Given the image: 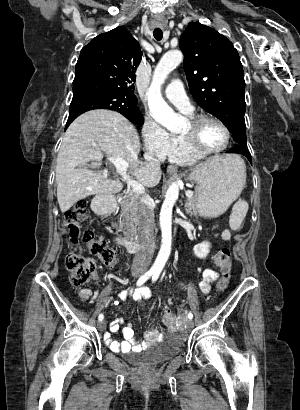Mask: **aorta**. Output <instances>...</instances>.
I'll list each match as a JSON object with an SVG mask.
<instances>
[{
	"label": "aorta",
	"mask_w": 300,
	"mask_h": 410,
	"mask_svg": "<svg viewBox=\"0 0 300 410\" xmlns=\"http://www.w3.org/2000/svg\"><path fill=\"white\" fill-rule=\"evenodd\" d=\"M183 60V54L179 50L167 52L157 64L151 85L147 91L148 105L151 116L166 127L168 130L178 132L183 126V118L178 116L164 101L161 94V86L169 73ZM179 180L173 182L166 191L165 199L160 212V228L162 233V244L152 270L161 272L164 268L170 252L172 243V210L179 197Z\"/></svg>",
	"instance_id": "obj_1"
}]
</instances>
